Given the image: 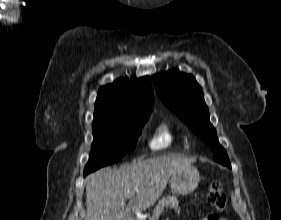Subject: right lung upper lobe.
I'll list each match as a JSON object with an SVG mask.
<instances>
[{"instance_id": "obj_1", "label": "right lung upper lobe", "mask_w": 281, "mask_h": 220, "mask_svg": "<svg viewBox=\"0 0 281 220\" xmlns=\"http://www.w3.org/2000/svg\"><path fill=\"white\" fill-rule=\"evenodd\" d=\"M154 95L149 76L120 78L100 88L95 103V123H111L150 115Z\"/></svg>"}]
</instances>
